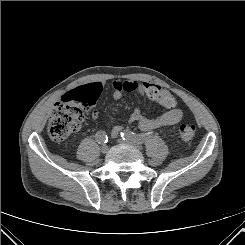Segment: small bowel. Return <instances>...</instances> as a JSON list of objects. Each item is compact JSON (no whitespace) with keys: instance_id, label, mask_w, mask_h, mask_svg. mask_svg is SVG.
I'll return each instance as SVG.
<instances>
[{"instance_id":"c3829d8e","label":"small bowel","mask_w":245,"mask_h":245,"mask_svg":"<svg viewBox=\"0 0 245 245\" xmlns=\"http://www.w3.org/2000/svg\"><path fill=\"white\" fill-rule=\"evenodd\" d=\"M98 84L101 85V83ZM112 89L113 97L115 99H120L125 92H137L141 96L157 102L165 110L164 113L153 118L141 111L139 108L133 109L129 117V122L137 123L138 127L145 132H150L164 126L175 125L179 123L183 117L182 109L176 107L175 94L168 92L158 85L147 82L140 83L116 80L112 83ZM91 117L94 120L97 119L98 111L94 110ZM120 130V126L114 127L112 135L117 136Z\"/></svg>"}]
</instances>
